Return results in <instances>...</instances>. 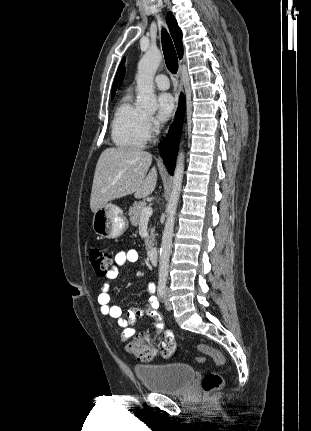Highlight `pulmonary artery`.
Here are the masks:
<instances>
[{"label": "pulmonary artery", "mask_w": 311, "mask_h": 431, "mask_svg": "<svg viewBox=\"0 0 311 431\" xmlns=\"http://www.w3.org/2000/svg\"><path fill=\"white\" fill-rule=\"evenodd\" d=\"M155 83L160 90H167L170 87V81L165 74H158Z\"/></svg>", "instance_id": "1"}]
</instances>
